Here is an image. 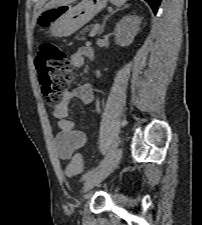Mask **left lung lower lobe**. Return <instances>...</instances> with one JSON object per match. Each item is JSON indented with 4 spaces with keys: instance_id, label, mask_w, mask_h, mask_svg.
Returning <instances> with one entry per match:
<instances>
[{
    "instance_id": "0a47b994",
    "label": "left lung lower lobe",
    "mask_w": 202,
    "mask_h": 225,
    "mask_svg": "<svg viewBox=\"0 0 202 225\" xmlns=\"http://www.w3.org/2000/svg\"><path fill=\"white\" fill-rule=\"evenodd\" d=\"M145 1L149 3L153 12L156 14L161 0H145Z\"/></svg>"
}]
</instances>
